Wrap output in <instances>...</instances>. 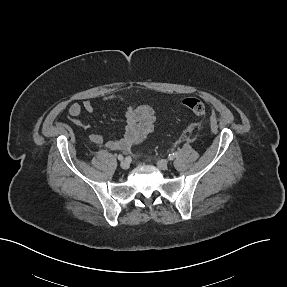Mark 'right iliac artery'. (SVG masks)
Returning a JSON list of instances; mask_svg holds the SVG:
<instances>
[{
	"label": "right iliac artery",
	"mask_w": 287,
	"mask_h": 287,
	"mask_svg": "<svg viewBox=\"0 0 287 287\" xmlns=\"http://www.w3.org/2000/svg\"><path fill=\"white\" fill-rule=\"evenodd\" d=\"M123 158H124V157H123V155H122V154H119V155H118V160H120V161H121V160H123Z\"/></svg>",
	"instance_id": "82829eb1"
}]
</instances>
